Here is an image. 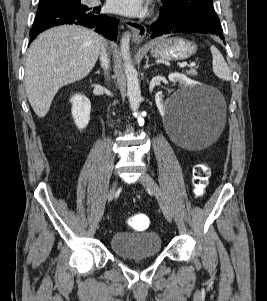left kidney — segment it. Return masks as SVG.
I'll use <instances>...</instances> for the list:
<instances>
[{"label": "left kidney", "instance_id": "obj_1", "mask_svg": "<svg viewBox=\"0 0 267 301\" xmlns=\"http://www.w3.org/2000/svg\"><path fill=\"white\" fill-rule=\"evenodd\" d=\"M171 82H179L183 84L185 87H191L197 85L195 82L191 81L187 76L180 73H171L168 76ZM156 104L160 110L164 109V101L160 94L156 96Z\"/></svg>", "mask_w": 267, "mask_h": 301}]
</instances>
